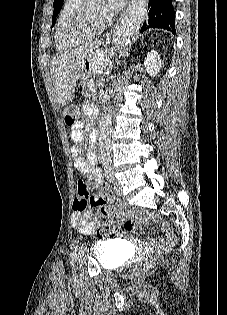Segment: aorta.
I'll list each match as a JSON object with an SVG mask.
<instances>
[{
	"instance_id": "762f6f07",
	"label": "aorta",
	"mask_w": 227,
	"mask_h": 315,
	"mask_svg": "<svg viewBox=\"0 0 227 315\" xmlns=\"http://www.w3.org/2000/svg\"><path fill=\"white\" fill-rule=\"evenodd\" d=\"M135 28L132 23L125 21L117 28L113 35L112 42L115 46L124 45L133 35ZM112 130V110L111 106L104 108L99 127V146L101 159L110 161L111 145L110 135Z\"/></svg>"
}]
</instances>
